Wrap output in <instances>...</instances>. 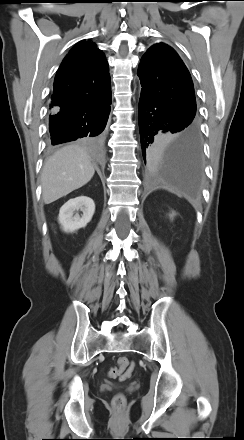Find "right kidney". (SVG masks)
I'll return each instance as SVG.
<instances>
[{"label":"right kidney","mask_w":244,"mask_h":440,"mask_svg":"<svg viewBox=\"0 0 244 440\" xmlns=\"http://www.w3.org/2000/svg\"><path fill=\"white\" fill-rule=\"evenodd\" d=\"M82 211L83 215L77 213ZM95 212L94 201L87 196H79L68 200L59 211L58 220L65 232H74L86 227Z\"/></svg>","instance_id":"ca27d5eb"}]
</instances>
